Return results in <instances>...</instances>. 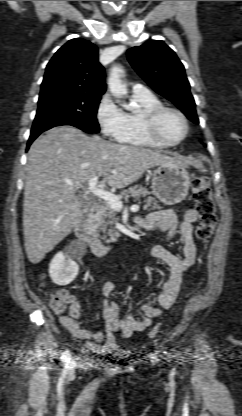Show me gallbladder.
Listing matches in <instances>:
<instances>
[{
	"instance_id": "gallbladder-1",
	"label": "gallbladder",
	"mask_w": 242,
	"mask_h": 416,
	"mask_svg": "<svg viewBox=\"0 0 242 416\" xmlns=\"http://www.w3.org/2000/svg\"><path fill=\"white\" fill-rule=\"evenodd\" d=\"M79 200L81 201V198H79ZM81 202H82V205H83V206H84V205H85V203H86V202H84V201H81Z\"/></svg>"
}]
</instances>
